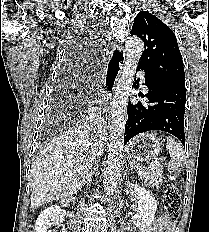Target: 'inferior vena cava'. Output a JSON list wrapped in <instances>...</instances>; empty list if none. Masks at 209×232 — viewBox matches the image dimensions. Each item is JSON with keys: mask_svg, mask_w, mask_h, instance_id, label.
Returning <instances> with one entry per match:
<instances>
[{"mask_svg": "<svg viewBox=\"0 0 209 232\" xmlns=\"http://www.w3.org/2000/svg\"><path fill=\"white\" fill-rule=\"evenodd\" d=\"M95 153V152H94ZM101 153V152H100ZM100 153L96 152L95 155H100ZM97 158V157H96Z\"/></svg>", "mask_w": 209, "mask_h": 232, "instance_id": "1", "label": "inferior vena cava"}]
</instances>
